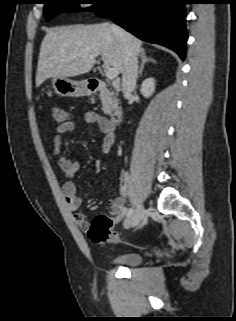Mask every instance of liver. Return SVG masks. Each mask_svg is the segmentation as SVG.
Segmentation results:
<instances>
[{"instance_id": "6515ba94", "label": "liver", "mask_w": 236, "mask_h": 321, "mask_svg": "<svg viewBox=\"0 0 236 321\" xmlns=\"http://www.w3.org/2000/svg\"><path fill=\"white\" fill-rule=\"evenodd\" d=\"M137 53L142 42L128 34ZM101 55L104 65L124 71V51L117 36L106 23L57 27L47 31L39 53L36 87L48 78L76 77L88 73Z\"/></svg>"}]
</instances>
